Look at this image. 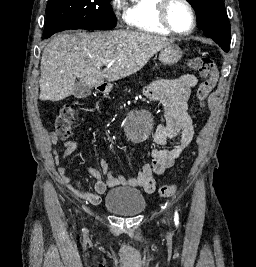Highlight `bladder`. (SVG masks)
I'll use <instances>...</instances> for the list:
<instances>
[{"mask_svg":"<svg viewBox=\"0 0 256 267\" xmlns=\"http://www.w3.org/2000/svg\"><path fill=\"white\" fill-rule=\"evenodd\" d=\"M104 206L118 216H135L145 209V201L138 190L114 189L106 194Z\"/></svg>","mask_w":256,"mask_h":267,"instance_id":"obj_1","label":"bladder"}]
</instances>
